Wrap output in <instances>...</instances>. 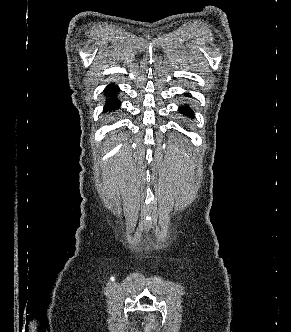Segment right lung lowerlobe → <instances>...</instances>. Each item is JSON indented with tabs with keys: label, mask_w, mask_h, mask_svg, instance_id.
<instances>
[{
	"label": "right lung lower lobe",
	"mask_w": 291,
	"mask_h": 332,
	"mask_svg": "<svg viewBox=\"0 0 291 332\" xmlns=\"http://www.w3.org/2000/svg\"><path fill=\"white\" fill-rule=\"evenodd\" d=\"M119 88L117 86H108L104 90V94L106 96V103L104 106V112H113L117 110L120 106V100H118V93H119Z\"/></svg>",
	"instance_id": "98d812e1"
}]
</instances>
